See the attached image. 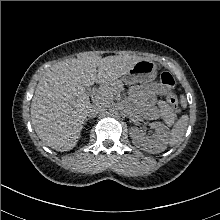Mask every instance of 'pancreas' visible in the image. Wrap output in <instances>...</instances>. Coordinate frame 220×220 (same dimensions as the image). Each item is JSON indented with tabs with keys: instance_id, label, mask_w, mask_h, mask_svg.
<instances>
[{
	"instance_id": "pancreas-1",
	"label": "pancreas",
	"mask_w": 220,
	"mask_h": 220,
	"mask_svg": "<svg viewBox=\"0 0 220 220\" xmlns=\"http://www.w3.org/2000/svg\"><path fill=\"white\" fill-rule=\"evenodd\" d=\"M112 93H105L101 95L100 99L102 103L106 102ZM159 112L163 116L164 120L168 123H171V120L174 118V112L171 106H169L166 102H159Z\"/></svg>"
}]
</instances>
